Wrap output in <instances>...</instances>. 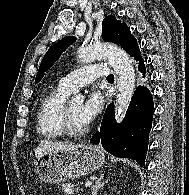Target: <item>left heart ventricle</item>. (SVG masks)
Here are the masks:
<instances>
[{
	"label": "left heart ventricle",
	"instance_id": "1",
	"mask_svg": "<svg viewBox=\"0 0 189 195\" xmlns=\"http://www.w3.org/2000/svg\"><path fill=\"white\" fill-rule=\"evenodd\" d=\"M81 106L82 105L80 103H71L67 105L71 123L76 129H84L87 127V125L80 118Z\"/></svg>",
	"mask_w": 189,
	"mask_h": 195
}]
</instances>
